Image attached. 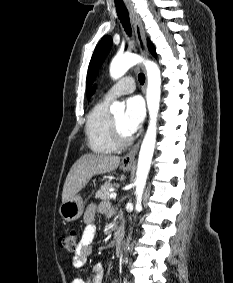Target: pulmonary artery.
Returning a JSON list of instances; mask_svg holds the SVG:
<instances>
[{
    "instance_id": "1",
    "label": "pulmonary artery",
    "mask_w": 233,
    "mask_h": 283,
    "mask_svg": "<svg viewBox=\"0 0 233 283\" xmlns=\"http://www.w3.org/2000/svg\"><path fill=\"white\" fill-rule=\"evenodd\" d=\"M135 90V80L133 77L127 76L118 81L104 95V100L111 101L112 99L131 93Z\"/></svg>"
}]
</instances>
